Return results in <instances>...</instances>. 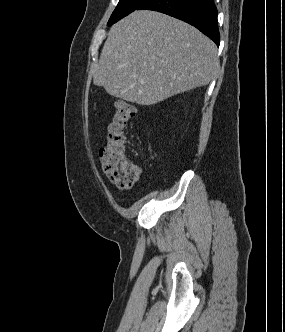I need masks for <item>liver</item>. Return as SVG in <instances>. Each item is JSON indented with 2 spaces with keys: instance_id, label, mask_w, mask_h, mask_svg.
I'll use <instances>...</instances> for the list:
<instances>
[{
  "instance_id": "liver-1",
  "label": "liver",
  "mask_w": 285,
  "mask_h": 332,
  "mask_svg": "<svg viewBox=\"0 0 285 332\" xmlns=\"http://www.w3.org/2000/svg\"><path fill=\"white\" fill-rule=\"evenodd\" d=\"M219 68L216 45L195 27L155 11L114 24L93 67V83L116 98L153 105L207 85Z\"/></svg>"
}]
</instances>
